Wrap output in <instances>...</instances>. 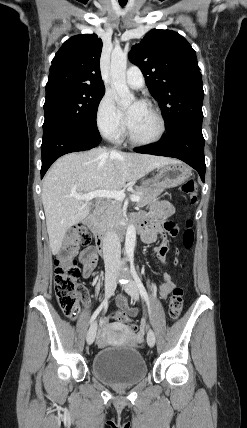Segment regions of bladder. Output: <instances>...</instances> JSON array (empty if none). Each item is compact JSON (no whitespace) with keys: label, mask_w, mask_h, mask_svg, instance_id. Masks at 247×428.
I'll list each match as a JSON object with an SVG mask.
<instances>
[{"label":"bladder","mask_w":247,"mask_h":428,"mask_svg":"<svg viewBox=\"0 0 247 428\" xmlns=\"http://www.w3.org/2000/svg\"><path fill=\"white\" fill-rule=\"evenodd\" d=\"M92 373L101 381L114 385H132L143 379L147 366L134 348L109 347L98 351L91 365Z\"/></svg>","instance_id":"bladder-1"}]
</instances>
